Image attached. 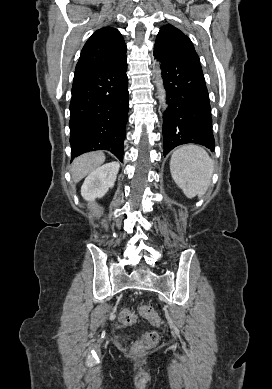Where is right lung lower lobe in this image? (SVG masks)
Listing matches in <instances>:
<instances>
[{
	"label": "right lung lower lobe",
	"instance_id": "98d812e1",
	"mask_svg": "<svg viewBox=\"0 0 272 389\" xmlns=\"http://www.w3.org/2000/svg\"><path fill=\"white\" fill-rule=\"evenodd\" d=\"M126 56L114 63L75 74L70 102L72 157L95 150H109L123 161L128 119Z\"/></svg>",
	"mask_w": 272,
	"mask_h": 389
}]
</instances>
